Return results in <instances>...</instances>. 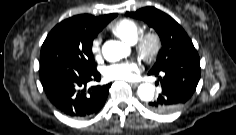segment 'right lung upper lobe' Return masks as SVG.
<instances>
[{"mask_svg":"<svg viewBox=\"0 0 236 135\" xmlns=\"http://www.w3.org/2000/svg\"><path fill=\"white\" fill-rule=\"evenodd\" d=\"M113 16L114 14L101 15L98 17L89 14H81L69 19L81 21L85 24L97 27L101 31L113 19Z\"/></svg>","mask_w":236,"mask_h":135,"instance_id":"cb5924a9","label":"right lung upper lobe"}]
</instances>
